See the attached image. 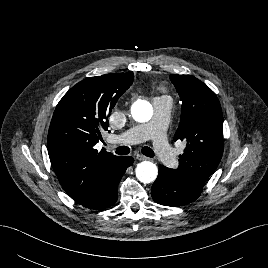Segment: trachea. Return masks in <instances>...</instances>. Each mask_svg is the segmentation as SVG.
I'll list each match as a JSON object with an SVG mask.
<instances>
[{
	"label": "trachea",
	"instance_id": "obj_1",
	"mask_svg": "<svg viewBox=\"0 0 268 268\" xmlns=\"http://www.w3.org/2000/svg\"><path fill=\"white\" fill-rule=\"evenodd\" d=\"M130 152V149L127 146H119L118 148H116V153L118 155H127ZM141 152L148 157H154V152L151 148H149L148 146H144L141 150Z\"/></svg>",
	"mask_w": 268,
	"mask_h": 268
}]
</instances>
